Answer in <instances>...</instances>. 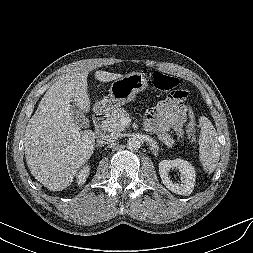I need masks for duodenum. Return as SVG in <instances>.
<instances>
[{
  "label": "duodenum",
  "mask_w": 253,
  "mask_h": 253,
  "mask_svg": "<svg viewBox=\"0 0 253 253\" xmlns=\"http://www.w3.org/2000/svg\"><path fill=\"white\" fill-rule=\"evenodd\" d=\"M106 114L103 111H97L93 117V124L99 136L105 133Z\"/></svg>",
  "instance_id": "1"
}]
</instances>
